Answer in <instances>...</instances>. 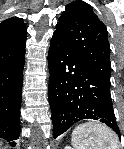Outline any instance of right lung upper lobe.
<instances>
[{"label":"right lung upper lobe","mask_w":124,"mask_h":149,"mask_svg":"<svg viewBox=\"0 0 124 149\" xmlns=\"http://www.w3.org/2000/svg\"><path fill=\"white\" fill-rule=\"evenodd\" d=\"M27 30L21 18L12 17L0 23V46L11 45L26 39Z\"/></svg>","instance_id":"right-lung-upper-lobe-1"}]
</instances>
